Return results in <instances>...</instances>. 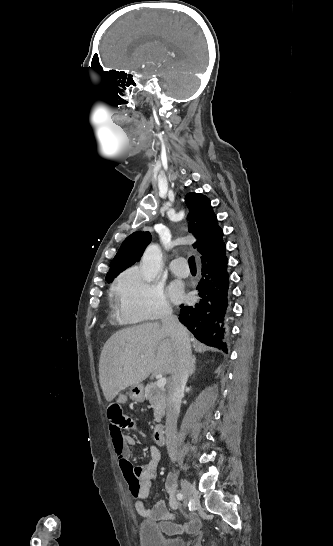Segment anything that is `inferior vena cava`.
I'll use <instances>...</instances> for the list:
<instances>
[{
  "label": "inferior vena cava",
  "mask_w": 333,
  "mask_h": 546,
  "mask_svg": "<svg viewBox=\"0 0 333 546\" xmlns=\"http://www.w3.org/2000/svg\"><path fill=\"white\" fill-rule=\"evenodd\" d=\"M162 331L170 335L176 347V367L168 384L166 414V445L170 459H177V419L180 413L184 388L192 367L191 346L187 330L166 307L162 316Z\"/></svg>",
  "instance_id": "1"
}]
</instances>
